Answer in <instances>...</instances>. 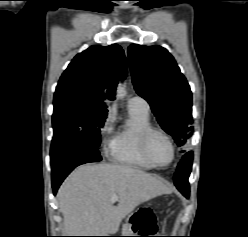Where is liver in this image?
Here are the masks:
<instances>
[{"label":"liver","instance_id":"1","mask_svg":"<svg viewBox=\"0 0 248 237\" xmlns=\"http://www.w3.org/2000/svg\"><path fill=\"white\" fill-rule=\"evenodd\" d=\"M158 178L142 170L100 163L82 165L63 182L58 191L65 236L115 234L123 218L139 204L170 193ZM117 195L118 205L110 200Z\"/></svg>","mask_w":248,"mask_h":237}]
</instances>
